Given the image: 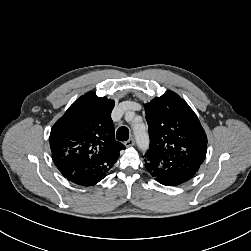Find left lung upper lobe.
Here are the masks:
<instances>
[{
  "mask_svg": "<svg viewBox=\"0 0 251 251\" xmlns=\"http://www.w3.org/2000/svg\"><path fill=\"white\" fill-rule=\"evenodd\" d=\"M144 108L150 136L148 153L202 164L207 151L206 134L196 114L178 94L167 91Z\"/></svg>",
  "mask_w": 251,
  "mask_h": 251,
  "instance_id": "obj_1",
  "label": "left lung upper lobe"
}]
</instances>
